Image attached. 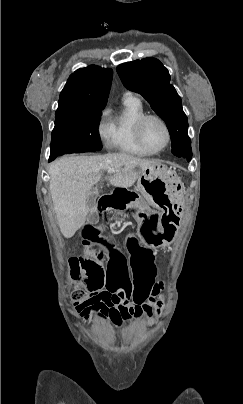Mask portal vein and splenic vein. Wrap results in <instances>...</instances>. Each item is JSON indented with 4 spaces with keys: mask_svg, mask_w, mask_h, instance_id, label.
Wrapping results in <instances>:
<instances>
[{
    "mask_svg": "<svg viewBox=\"0 0 243 404\" xmlns=\"http://www.w3.org/2000/svg\"><path fill=\"white\" fill-rule=\"evenodd\" d=\"M113 172H116V170H108V174H113Z\"/></svg>",
    "mask_w": 243,
    "mask_h": 404,
    "instance_id": "18ae733b",
    "label": "portal vein and splenic vein"
}]
</instances>
